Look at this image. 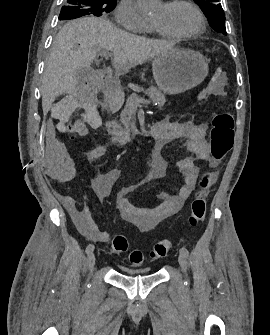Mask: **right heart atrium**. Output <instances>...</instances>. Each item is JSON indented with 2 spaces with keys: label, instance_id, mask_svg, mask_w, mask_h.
<instances>
[{
  "label": "right heart atrium",
  "instance_id": "1",
  "mask_svg": "<svg viewBox=\"0 0 270 335\" xmlns=\"http://www.w3.org/2000/svg\"><path fill=\"white\" fill-rule=\"evenodd\" d=\"M115 22L125 30L150 33V24L141 16L135 0H122L114 13Z\"/></svg>",
  "mask_w": 270,
  "mask_h": 335
}]
</instances>
